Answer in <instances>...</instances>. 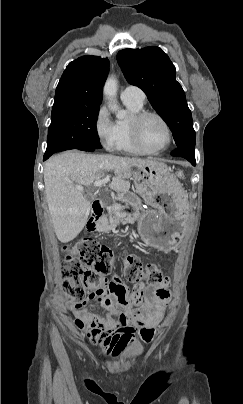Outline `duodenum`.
<instances>
[{
    "instance_id": "duodenum-1",
    "label": "duodenum",
    "mask_w": 243,
    "mask_h": 404,
    "mask_svg": "<svg viewBox=\"0 0 243 404\" xmlns=\"http://www.w3.org/2000/svg\"><path fill=\"white\" fill-rule=\"evenodd\" d=\"M120 198L122 200H127V197L125 195H120ZM104 210V203L101 200H96L92 204V216L88 222V230L89 231H94L95 230V224L97 219L101 216L102 212Z\"/></svg>"
}]
</instances>
